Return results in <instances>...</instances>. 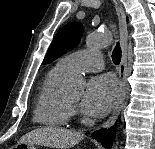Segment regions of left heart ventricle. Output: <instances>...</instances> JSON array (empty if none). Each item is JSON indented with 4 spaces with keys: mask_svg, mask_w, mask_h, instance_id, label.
Returning <instances> with one entry per match:
<instances>
[{
    "mask_svg": "<svg viewBox=\"0 0 155 149\" xmlns=\"http://www.w3.org/2000/svg\"><path fill=\"white\" fill-rule=\"evenodd\" d=\"M78 99H79L78 97H76V98H70V101L73 102V103H75V102L78 101Z\"/></svg>",
    "mask_w": 155,
    "mask_h": 149,
    "instance_id": "1",
    "label": "left heart ventricle"
}]
</instances>
